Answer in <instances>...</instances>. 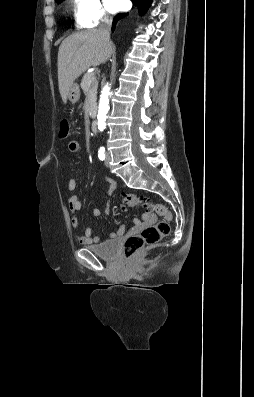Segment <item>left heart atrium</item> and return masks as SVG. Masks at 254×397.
Segmentation results:
<instances>
[{"instance_id":"39dd6f15","label":"left heart atrium","mask_w":254,"mask_h":397,"mask_svg":"<svg viewBox=\"0 0 254 397\" xmlns=\"http://www.w3.org/2000/svg\"><path fill=\"white\" fill-rule=\"evenodd\" d=\"M109 11L117 12L123 9L125 0H104Z\"/></svg>"}]
</instances>
